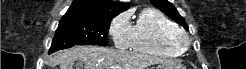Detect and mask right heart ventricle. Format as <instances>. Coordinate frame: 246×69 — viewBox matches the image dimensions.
<instances>
[{
    "instance_id": "e07e8e85",
    "label": "right heart ventricle",
    "mask_w": 246,
    "mask_h": 69,
    "mask_svg": "<svg viewBox=\"0 0 246 69\" xmlns=\"http://www.w3.org/2000/svg\"><path fill=\"white\" fill-rule=\"evenodd\" d=\"M177 29V25L162 11L145 8L131 27L129 46L133 51L155 56H177L181 49L174 36Z\"/></svg>"
}]
</instances>
